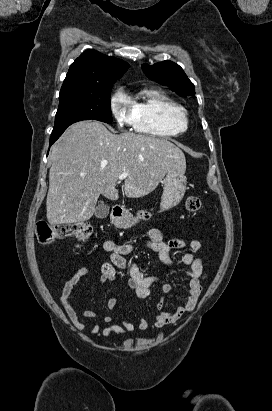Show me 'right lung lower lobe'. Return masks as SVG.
<instances>
[{"instance_id": "obj_1", "label": "right lung lower lobe", "mask_w": 272, "mask_h": 411, "mask_svg": "<svg viewBox=\"0 0 272 411\" xmlns=\"http://www.w3.org/2000/svg\"><path fill=\"white\" fill-rule=\"evenodd\" d=\"M58 138H59V137H58ZM58 138H57V137L51 138V139H50V142H49V145L51 146Z\"/></svg>"}]
</instances>
